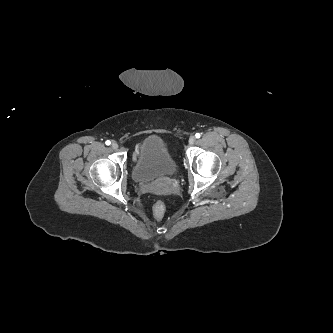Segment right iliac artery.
<instances>
[{"mask_svg":"<svg viewBox=\"0 0 333 333\" xmlns=\"http://www.w3.org/2000/svg\"><path fill=\"white\" fill-rule=\"evenodd\" d=\"M105 144H106V145H110L111 142H110L109 140H107V141L105 142Z\"/></svg>","mask_w":333,"mask_h":333,"instance_id":"right-iliac-artery-1","label":"right iliac artery"}]
</instances>
